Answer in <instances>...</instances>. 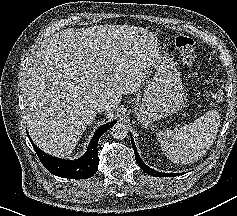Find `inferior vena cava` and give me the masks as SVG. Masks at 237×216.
Here are the masks:
<instances>
[{"instance_id":"obj_1","label":"inferior vena cava","mask_w":237,"mask_h":216,"mask_svg":"<svg viewBox=\"0 0 237 216\" xmlns=\"http://www.w3.org/2000/svg\"><path fill=\"white\" fill-rule=\"evenodd\" d=\"M98 110L101 111H114L117 108L116 103H111L109 100H99L97 103Z\"/></svg>"}]
</instances>
